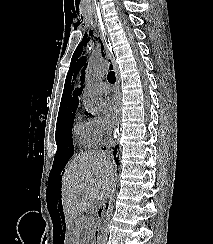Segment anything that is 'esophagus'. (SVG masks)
Returning a JSON list of instances; mask_svg holds the SVG:
<instances>
[{
    "instance_id": "1",
    "label": "esophagus",
    "mask_w": 213,
    "mask_h": 244,
    "mask_svg": "<svg viewBox=\"0 0 213 244\" xmlns=\"http://www.w3.org/2000/svg\"><path fill=\"white\" fill-rule=\"evenodd\" d=\"M105 57H106V62L107 65L109 67V69H113L115 72V76H116V86H115V90H116V97L118 99L119 102V115H118V120L116 123V127H115V131L118 130L119 127V122H120V114H121V95H120V81H119V72H118V68H117V64L114 60L113 54L111 51L108 50L107 46L105 45Z\"/></svg>"
}]
</instances>
